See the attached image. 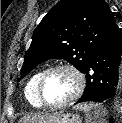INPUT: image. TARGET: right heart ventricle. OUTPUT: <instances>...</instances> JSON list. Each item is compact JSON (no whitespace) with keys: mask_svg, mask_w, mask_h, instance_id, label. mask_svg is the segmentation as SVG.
<instances>
[{"mask_svg":"<svg viewBox=\"0 0 122 123\" xmlns=\"http://www.w3.org/2000/svg\"><path fill=\"white\" fill-rule=\"evenodd\" d=\"M44 71H45L44 69H39L36 72H34L29 77L25 85V98L33 107H36V108L43 107L42 103L38 99L37 86H38L40 77Z\"/></svg>","mask_w":122,"mask_h":123,"instance_id":"obj_1","label":"right heart ventricle"}]
</instances>
